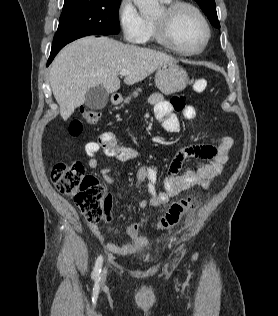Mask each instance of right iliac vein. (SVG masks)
<instances>
[{
	"mask_svg": "<svg viewBox=\"0 0 278 316\" xmlns=\"http://www.w3.org/2000/svg\"><path fill=\"white\" fill-rule=\"evenodd\" d=\"M105 278H106V269H104L102 273V282L105 281Z\"/></svg>",
	"mask_w": 278,
	"mask_h": 316,
	"instance_id": "obj_1",
	"label": "right iliac vein"
}]
</instances>
